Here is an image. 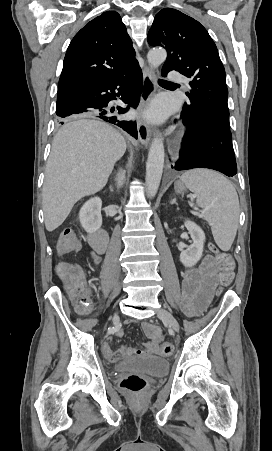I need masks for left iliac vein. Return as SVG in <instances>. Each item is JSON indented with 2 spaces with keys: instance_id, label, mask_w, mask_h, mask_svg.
I'll return each instance as SVG.
<instances>
[{
  "instance_id": "1",
  "label": "left iliac vein",
  "mask_w": 272,
  "mask_h": 451,
  "mask_svg": "<svg viewBox=\"0 0 272 451\" xmlns=\"http://www.w3.org/2000/svg\"><path fill=\"white\" fill-rule=\"evenodd\" d=\"M157 315L169 326L170 329L174 330L175 332H179V324L169 311L161 308L158 310Z\"/></svg>"
}]
</instances>
